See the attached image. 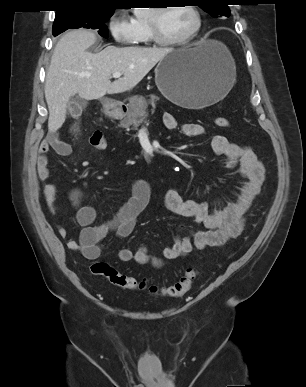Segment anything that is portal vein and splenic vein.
Here are the masks:
<instances>
[{
	"instance_id": "1",
	"label": "portal vein and splenic vein",
	"mask_w": 306,
	"mask_h": 387,
	"mask_svg": "<svg viewBox=\"0 0 306 387\" xmlns=\"http://www.w3.org/2000/svg\"><path fill=\"white\" fill-rule=\"evenodd\" d=\"M112 75H113L114 78H120L121 75H122V73H120V72H115V73H113Z\"/></svg>"
}]
</instances>
